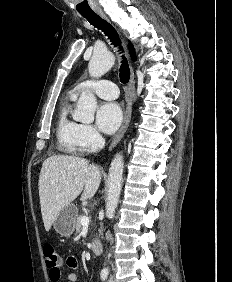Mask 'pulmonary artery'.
Returning a JSON list of instances; mask_svg holds the SVG:
<instances>
[{"instance_id":"1","label":"pulmonary artery","mask_w":232,"mask_h":282,"mask_svg":"<svg viewBox=\"0 0 232 282\" xmlns=\"http://www.w3.org/2000/svg\"><path fill=\"white\" fill-rule=\"evenodd\" d=\"M92 91L97 96L106 99L114 100L119 95L118 87L115 83L108 80H99V81H84L78 84L72 91L71 94L74 97L86 92Z\"/></svg>"}]
</instances>
